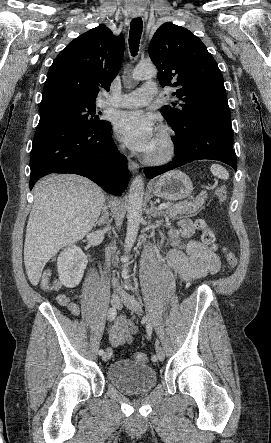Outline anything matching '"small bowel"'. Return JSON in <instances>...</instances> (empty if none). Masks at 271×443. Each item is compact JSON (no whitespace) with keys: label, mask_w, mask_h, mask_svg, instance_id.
<instances>
[{"label":"small bowel","mask_w":271,"mask_h":443,"mask_svg":"<svg viewBox=\"0 0 271 443\" xmlns=\"http://www.w3.org/2000/svg\"><path fill=\"white\" fill-rule=\"evenodd\" d=\"M193 233V225L190 220L183 219L179 223V230L172 234L173 248L168 252L167 261L169 266L183 279H199L208 274H216L221 269V261L216 253L207 246L189 241L185 247L179 246L180 237L189 238ZM60 285L55 284L54 289L59 290ZM58 302L66 307L73 315L78 316V305L69 300L63 294L58 295ZM135 327L125 317L116 319L109 330V342L113 346H120L132 340Z\"/></svg>","instance_id":"small-bowel-1"}]
</instances>
